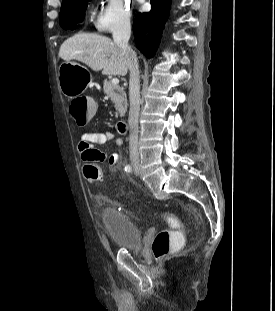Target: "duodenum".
I'll use <instances>...</instances> for the list:
<instances>
[{
	"label": "duodenum",
	"instance_id": "obj_1",
	"mask_svg": "<svg viewBox=\"0 0 275 311\" xmlns=\"http://www.w3.org/2000/svg\"><path fill=\"white\" fill-rule=\"evenodd\" d=\"M116 129L119 133L125 134L128 131V125L125 121H118L116 124Z\"/></svg>",
	"mask_w": 275,
	"mask_h": 311
}]
</instances>
